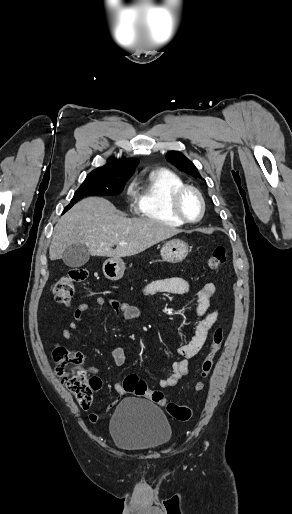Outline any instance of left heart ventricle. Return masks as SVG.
Returning <instances> with one entry per match:
<instances>
[{
	"label": "left heart ventricle",
	"mask_w": 292,
	"mask_h": 514,
	"mask_svg": "<svg viewBox=\"0 0 292 514\" xmlns=\"http://www.w3.org/2000/svg\"><path fill=\"white\" fill-rule=\"evenodd\" d=\"M181 212L189 219H196L200 212V205L197 197L190 191L184 192L179 200Z\"/></svg>",
	"instance_id": "obj_1"
}]
</instances>
